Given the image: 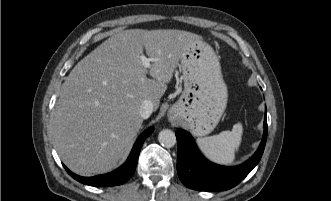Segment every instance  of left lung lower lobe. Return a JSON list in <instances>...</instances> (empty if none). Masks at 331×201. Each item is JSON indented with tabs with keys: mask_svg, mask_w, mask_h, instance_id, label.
<instances>
[{
	"mask_svg": "<svg viewBox=\"0 0 331 201\" xmlns=\"http://www.w3.org/2000/svg\"><path fill=\"white\" fill-rule=\"evenodd\" d=\"M177 173L182 183L198 191L228 190L241 182L260 161L267 139L266 111L262 142L255 154L245 163L235 167H224L206 160L198 151L192 136L177 130Z\"/></svg>",
	"mask_w": 331,
	"mask_h": 201,
	"instance_id": "1",
	"label": "left lung lower lobe"
}]
</instances>
